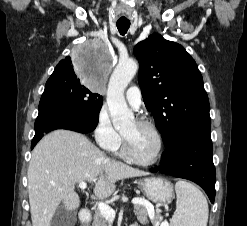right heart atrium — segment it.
<instances>
[{"mask_svg": "<svg viewBox=\"0 0 247 226\" xmlns=\"http://www.w3.org/2000/svg\"><path fill=\"white\" fill-rule=\"evenodd\" d=\"M94 138L102 149L108 151L114 150L120 144L121 137L113 127L108 108L105 105L98 111Z\"/></svg>", "mask_w": 247, "mask_h": 226, "instance_id": "obj_1", "label": "right heart atrium"}]
</instances>
